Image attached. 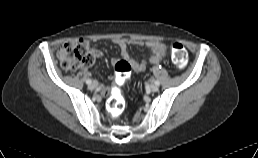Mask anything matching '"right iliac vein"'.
I'll list each match as a JSON object with an SVG mask.
<instances>
[{
  "instance_id": "right-iliac-vein-1",
  "label": "right iliac vein",
  "mask_w": 258,
  "mask_h": 158,
  "mask_svg": "<svg viewBox=\"0 0 258 158\" xmlns=\"http://www.w3.org/2000/svg\"><path fill=\"white\" fill-rule=\"evenodd\" d=\"M97 87V83L96 82H92L91 84H89L88 88L90 90H94Z\"/></svg>"
}]
</instances>
